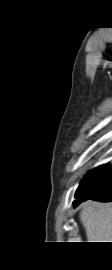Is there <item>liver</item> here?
<instances>
[{"instance_id": "liver-1", "label": "liver", "mask_w": 112, "mask_h": 270, "mask_svg": "<svg viewBox=\"0 0 112 270\" xmlns=\"http://www.w3.org/2000/svg\"><path fill=\"white\" fill-rule=\"evenodd\" d=\"M80 220L88 242H112V204L88 202L80 213Z\"/></svg>"}]
</instances>
